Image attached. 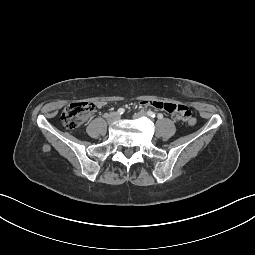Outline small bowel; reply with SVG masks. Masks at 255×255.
<instances>
[{"instance_id": "small-bowel-1", "label": "small bowel", "mask_w": 255, "mask_h": 255, "mask_svg": "<svg viewBox=\"0 0 255 255\" xmlns=\"http://www.w3.org/2000/svg\"><path fill=\"white\" fill-rule=\"evenodd\" d=\"M141 104L143 106H151L157 110H163L167 113H170L172 118L176 121L187 120L191 114L190 109L183 104H172V103L151 101V100L142 101ZM103 105H104V102L97 103L98 107H102Z\"/></svg>"}]
</instances>
